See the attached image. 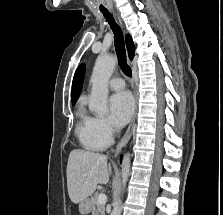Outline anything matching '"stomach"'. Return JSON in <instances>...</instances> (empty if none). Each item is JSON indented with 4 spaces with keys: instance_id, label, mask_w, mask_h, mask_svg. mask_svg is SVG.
<instances>
[{
    "instance_id": "0dacf381",
    "label": "stomach",
    "mask_w": 223,
    "mask_h": 215,
    "mask_svg": "<svg viewBox=\"0 0 223 215\" xmlns=\"http://www.w3.org/2000/svg\"><path fill=\"white\" fill-rule=\"evenodd\" d=\"M90 206H91V203H89V199H83V201H80L79 203L80 213H90L91 211V209L89 208Z\"/></svg>"
}]
</instances>
